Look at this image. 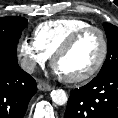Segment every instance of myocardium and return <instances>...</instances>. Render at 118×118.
<instances>
[{
  "mask_svg": "<svg viewBox=\"0 0 118 118\" xmlns=\"http://www.w3.org/2000/svg\"><path fill=\"white\" fill-rule=\"evenodd\" d=\"M96 32L99 34L102 42V51L100 57L96 64L86 73L75 76V77H61L67 83H79L83 81H87L91 79L94 75H96L99 70L102 68L103 64L106 61L108 51H109V43L105 32L96 26H88L76 31L72 34L62 45H60L56 51L53 53L51 58L52 66L55 67L57 60L66 54L69 50L73 48V46L87 33Z\"/></svg>",
  "mask_w": 118,
  "mask_h": 118,
  "instance_id": "myocardium-1",
  "label": "myocardium"
}]
</instances>
